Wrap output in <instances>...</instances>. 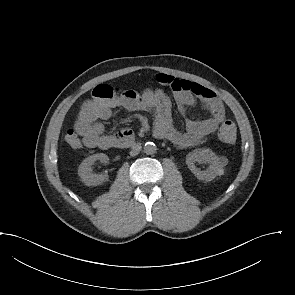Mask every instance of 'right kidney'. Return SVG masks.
<instances>
[{"label": "right kidney", "instance_id": "obj_1", "mask_svg": "<svg viewBox=\"0 0 295 295\" xmlns=\"http://www.w3.org/2000/svg\"><path fill=\"white\" fill-rule=\"evenodd\" d=\"M100 160L102 163H107L109 158L106 154L98 153L91 155L83 160L78 168V175L82 182L87 186H97L108 179L107 174H93L91 166L95 161Z\"/></svg>", "mask_w": 295, "mask_h": 295}]
</instances>
